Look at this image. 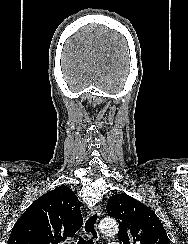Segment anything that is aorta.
Wrapping results in <instances>:
<instances>
[{"label":"aorta","mask_w":188,"mask_h":244,"mask_svg":"<svg viewBox=\"0 0 188 244\" xmlns=\"http://www.w3.org/2000/svg\"><path fill=\"white\" fill-rule=\"evenodd\" d=\"M100 231L106 235H114L118 232V224L115 219L106 217L100 221Z\"/></svg>","instance_id":"aorta-1"}]
</instances>
